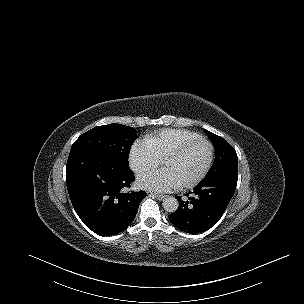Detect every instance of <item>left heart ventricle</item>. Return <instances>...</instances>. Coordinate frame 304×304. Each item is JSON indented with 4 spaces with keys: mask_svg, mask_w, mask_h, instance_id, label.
Here are the masks:
<instances>
[{
    "mask_svg": "<svg viewBox=\"0 0 304 304\" xmlns=\"http://www.w3.org/2000/svg\"><path fill=\"white\" fill-rule=\"evenodd\" d=\"M207 157V147L203 143H199L182 156L178 161L175 174L180 180H187L193 177L203 165Z\"/></svg>",
    "mask_w": 304,
    "mask_h": 304,
    "instance_id": "left-heart-ventricle-1",
    "label": "left heart ventricle"
}]
</instances>
